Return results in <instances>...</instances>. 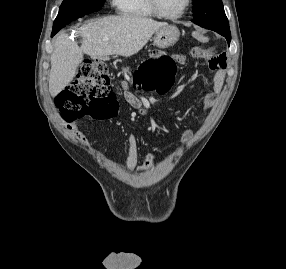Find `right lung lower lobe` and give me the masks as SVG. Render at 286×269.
Here are the masks:
<instances>
[{"mask_svg": "<svg viewBox=\"0 0 286 269\" xmlns=\"http://www.w3.org/2000/svg\"><path fill=\"white\" fill-rule=\"evenodd\" d=\"M57 32H58V30H52L51 37H53Z\"/></svg>", "mask_w": 286, "mask_h": 269, "instance_id": "obj_1", "label": "right lung lower lobe"}]
</instances>
